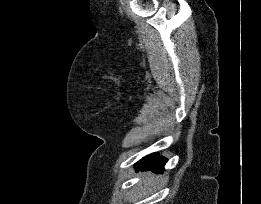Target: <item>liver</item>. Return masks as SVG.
<instances>
[{"label":"liver","mask_w":261,"mask_h":204,"mask_svg":"<svg viewBox=\"0 0 261 204\" xmlns=\"http://www.w3.org/2000/svg\"><path fill=\"white\" fill-rule=\"evenodd\" d=\"M154 181V176L152 174H150L148 177H146V179L144 180V182L146 184H150Z\"/></svg>","instance_id":"obj_1"}]
</instances>
